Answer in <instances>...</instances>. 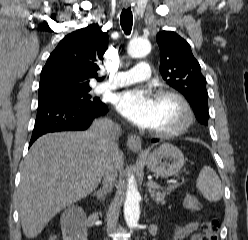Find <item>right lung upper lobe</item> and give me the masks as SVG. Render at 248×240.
<instances>
[{"instance_id":"obj_1","label":"right lung upper lobe","mask_w":248,"mask_h":240,"mask_svg":"<svg viewBox=\"0 0 248 240\" xmlns=\"http://www.w3.org/2000/svg\"><path fill=\"white\" fill-rule=\"evenodd\" d=\"M107 48V34L98 24L65 36L42 69L39 98L89 91V81L99 80L96 72Z\"/></svg>"}]
</instances>
